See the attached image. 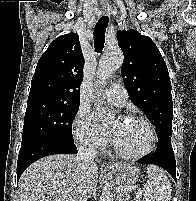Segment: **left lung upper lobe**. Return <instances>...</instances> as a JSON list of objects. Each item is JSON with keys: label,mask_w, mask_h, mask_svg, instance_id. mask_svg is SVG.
<instances>
[{"label": "left lung upper lobe", "mask_w": 196, "mask_h": 201, "mask_svg": "<svg viewBox=\"0 0 196 201\" xmlns=\"http://www.w3.org/2000/svg\"><path fill=\"white\" fill-rule=\"evenodd\" d=\"M121 75L129 98L156 127L158 140L172 136L173 102L165 61L155 43L137 30L119 31Z\"/></svg>", "instance_id": "left-lung-upper-lobe-1"}]
</instances>
